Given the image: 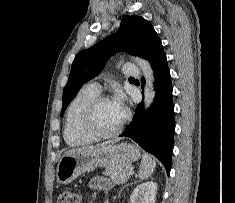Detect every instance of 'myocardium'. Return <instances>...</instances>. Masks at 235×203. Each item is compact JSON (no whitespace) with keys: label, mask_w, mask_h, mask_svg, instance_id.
<instances>
[{"label":"myocardium","mask_w":235,"mask_h":203,"mask_svg":"<svg viewBox=\"0 0 235 203\" xmlns=\"http://www.w3.org/2000/svg\"><path fill=\"white\" fill-rule=\"evenodd\" d=\"M107 100H112V99L108 95H102V94L97 95L88 103L83 113L82 128L87 134L91 135L95 139H107L118 135L119 133L122 132L130 117L129 112L125 110V115L123 120L114 130L104 132L98 129L95 123L96 110L102 102Z\"/></svg>","instance_id":"myocardium-1"}]
</instances>
